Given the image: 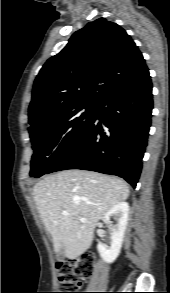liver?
I'll list each match as a JSON object with an SVG mask.
<instances>
[{
	"mask_svg": "<svg viewBox=\"0 0 170 293\" xmlns=\"http://www.w3.org/2000/svg\"><path fill=\"white\" fill-rule=\"evenodd\" d=\"M33 196L56 253L63 248L68 259H76L91 246L98 221L128 198L129 188L116 177L64 170L36 183Z\"/></svg>",
	"mask_w": 170,
	"mask_h": 293,
	"instance_id": "liver-1",
	"label": "liver"
}]
</instances>
